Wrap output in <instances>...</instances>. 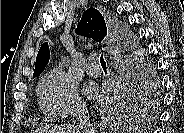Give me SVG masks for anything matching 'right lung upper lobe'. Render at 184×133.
<instances>
[{
	"label": "right lung upper lobe",
	"instance_id": "obj_1",
	"mask_svg": "<svg viewBox=\"0 0 184 133\" xmlns=\"http://www.w3.org/2000/svg\"><path fill=\"white\" fill-rule=\"evenodd\" d=\"M75 33L81 36L92 38L101 42L107 35V27L102 14L95 8L84 11L81 21L77 25ZM50 58L48 43L42 44L36 57L33 77L39 76L47 65Z\"/></svg>",
	"mask_w": 184,
	"mask_h": 133
}]
</instances>
